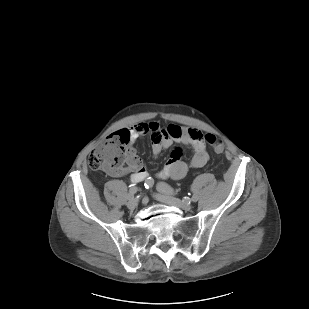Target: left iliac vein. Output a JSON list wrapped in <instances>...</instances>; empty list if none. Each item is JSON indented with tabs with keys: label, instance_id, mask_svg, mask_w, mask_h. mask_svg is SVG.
<instances>
[{
	"label": "left iliac vein",
	"instance_id": "obj_1",
	"mask_svg": "<svg viewBox=\"0 0 309 309\" xmlns=\"http://www.w3.org/2000/svg\"><path fill=\"white\" fill-rule=\"evenodd\" d=\"M155 197H156L157 200H159L163 203L176 206V207L181 208L185 211H189V210L192 209V205L190 203L183 202L180 199H177V198L172 197L170 195H167L165 193L156 194Z\"/></svg>",
	"mask_w": 309,
	"mask_h": 309
}]
</instances>
